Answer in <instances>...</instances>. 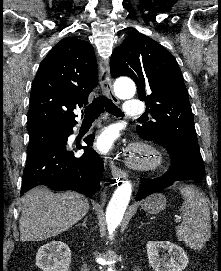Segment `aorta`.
<instances>
[{"label":"aorta","instance_id":"762f6f07","mask_svg":"<svg viewBox=\"0 0 221 271\" xmlns=\"http://www.w3.org/2000/svg\"><path fill=\"white\" fill-rule=\"evenodd\" d=\"M115 94L120 99L132 98L136 93V86L130 79H120L114 83ZM132 185L129 181L123 183L115 190L106 209V222L110 238L121 223L125 210L129 204Z\"/></svg>","mask_w":221,"mask_h":271}]
</instances>
